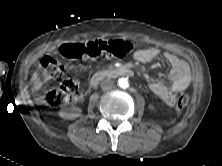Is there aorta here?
Masks as SVG:
<instances>
[{"label": "aorta", "instance_id": "aorta-1", "mask_svg": "<svg viewBox=\"0 0 222 166\" xmlns=\"http://www.w3.org/2000/svg\"><path fill=\"white\" fill-rule=\"evenodd\" d=\"M118 85H119L121 88H124V89L127 88V87L129 86L127 78H120V79L118 80Z\"/></svg>", "mask_w": 222, "mask_h": 166}]
</instances>
